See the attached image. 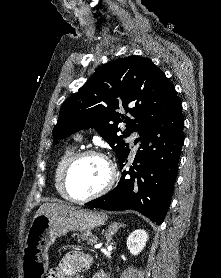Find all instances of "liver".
Returning a JSON list of instances; mask_svg holds the SVG:
<instances>
[{"mask_svg":"<svg viewBox=\"0 0 221 278\" xmlns=\"http://www.w3.org/2000/svg\"><path fill=\"white\" fill-rule=\"evenodd\" d=\"M75 209L74 207L58 204V203H44L37 210L36 215L44 214V213H65L69 210Z\"/></svg>","mask_w":221,"mask_h":278,"instance_id":"6515ba94","label":"liver"}]
</instances>
